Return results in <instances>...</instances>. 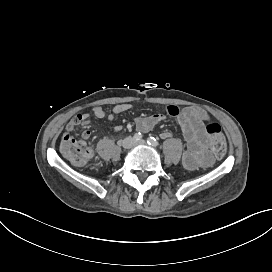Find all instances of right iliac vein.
<instances>
[{"label":"right iliac vein","mask_w":272,"mask_h":272,"mask_svg":"<svg viewBox=\"0 0 272 272\" xmlns=\"http://www.w3.org/2000/svg\"><path fill=\"white\" fill-rule=\"evenodd\" d=\"M133 144H134V141L130 137H127L122 141V147L125 149L131 148L133 146Z\"/></svg>","instance_id":"obj_1"}]
</instances>
